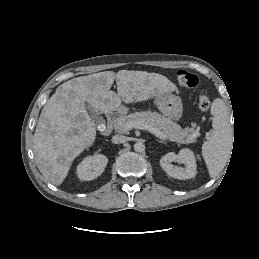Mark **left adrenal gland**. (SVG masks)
<instances>
[{"label":"left adrenal gland","mask_w":259,"mask_h":259,"mask_svg":"<svg viewBox=\"0 0 259 259\" xmlns=\"http://www.w3.org/2000/svg\"><path fill=\"white\" fill-rule=\"evenodd\" d=\"M158 142H160V143H165L164 141H161V140H160V141H158Z\"/></svg>","instance_id":"1"}]
</instances>
